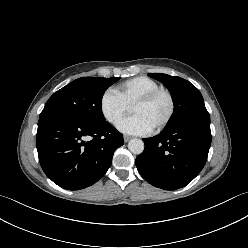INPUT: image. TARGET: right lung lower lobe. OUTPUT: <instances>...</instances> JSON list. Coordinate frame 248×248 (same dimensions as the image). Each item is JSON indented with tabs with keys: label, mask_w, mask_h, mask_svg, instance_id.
<instances>
[{
	"label": "right lung lower lobe",
	"mask_w": 248,
	"mask_h": 248,
	"mask_svg": "<svg viewBox=\"0 0 248 248\" xmlns=\"http://www.w3.org/2000/svg\"><path fill=\"white\" fill-rule=\"evenodd\" d=\"M123 135L107 121L54 113L38 121L36 145L49 179L68 190L91 186L109 169Z\"/></svg>",
	"instance_id": "obj_1"
}]
</instances>
